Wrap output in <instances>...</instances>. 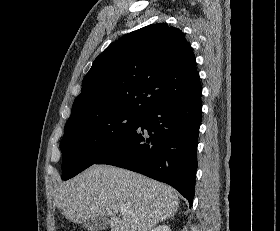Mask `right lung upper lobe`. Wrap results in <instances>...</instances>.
Instances as JSON below:
<instances>
[{"label":"right lung upper lobe","mask_w":280,"mask_h":231,"mask_svg":"<svg viewBox=\"0 0 280 231\" xmlns=\"http://www.w3.org/2000/svg\"><path fill=\"white\" fill-rule=\"evenodd\" d=\"M202 90L183 32L152 24L110 44L84 77L69 118L143 115L158 104Z\"/></svg>","instance_id":"obj_1"}]
</instances>
